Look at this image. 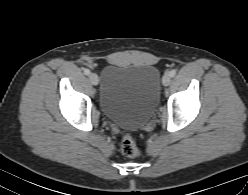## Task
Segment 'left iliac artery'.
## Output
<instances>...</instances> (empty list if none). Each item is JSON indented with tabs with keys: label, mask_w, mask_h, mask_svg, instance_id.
<instances>
[{
	"label": "left iliac artery",
	"mask_w": 248,
	"mask_h": 195,
	"mask_svg": "<svg viewBox=\"0 0 248 195\" xmlns=\"http://www.w3.org/2000/svg\"><path fill=\"white\" fill-rule=\"evenodd\" d=\"M169 75H170V77H174L176 75V71L175 70H171L169 72Z\"/></svg>",
	"instance_id": "left-iliac-artery-1"
}]
</instances>
